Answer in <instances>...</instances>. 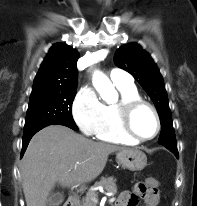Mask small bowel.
Segmentation results:
<instances>
[{"label":"small bowel","mask_w":197,"mask_h":206,"mask_svg":"<svg viewBox=\"0 0 197 206\" xmlns=\"http://www.w3.org/2000/svg\"><path fill=\"white\" fill-rule=\"evenodd\" d=\"M146 200L148 203V206H157L158 204V192H157V188L155 189H148L146 191ZM132 194L130 191H124L121 196L119 197V199L116 202L115 206H132L130 204V200H131Z\"/></svg>","instance_id":"1"}]
</instances>
